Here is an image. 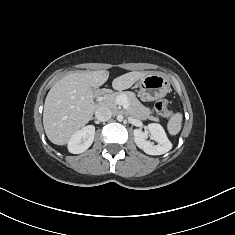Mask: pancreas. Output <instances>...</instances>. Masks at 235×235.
<instances>
[{"label": "pancreas", "mask_w": 235, "mask_h": 235, "mask_svg": "<svg viewBox=\"0 0 235 235\" xmlns=\"http://www.w3.org/2000/svg\"><path fill=\"white\" fill-rule=\"evenodd\" d=\"M120 95H123L127 98L129 103L127 113H129L131 116L141 120L150 119L156 122L159 121L158 117L152 116V111L149 108L143 106L140 103V101L136 98L135 93L130 91L110 93L104 97V104L112 109H115L117 106L116 98Z\"/></svg>", "instance_id": "1"}]
</instances>
